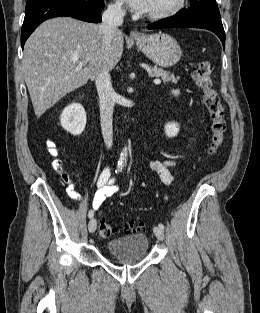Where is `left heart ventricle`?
<instances>
[{
    "label": "left heart ventricle",
    "mask_w": 260,
    "mask_h": 313,
    "mask_svg": "<svg viewBox=\"0 0 260 313\" xmlns=\"http://www.w3.org/2000/svg\"><path fill=\"white\" fill-rule=\"evenodd\" d=\"M175 0H150L147 13L160 12L173 5Z\"/></svg>",
    "instance_id": "left-heart-ventricle-1"
}]
</instances>
